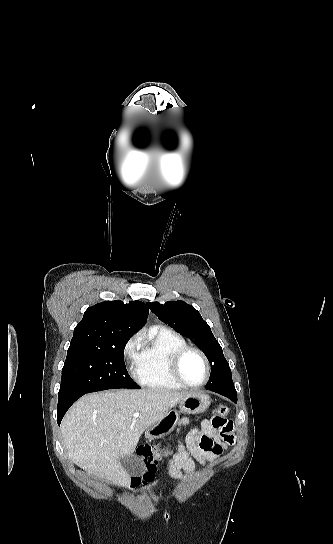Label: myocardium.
<instances>
[{
    "label": "myocardium",
    "instance_id": "f54148a6",
    "mask_svg": "<svg viewBox=\"0 0 333 544\" xmlns=\"http://www.w3.org/2000/svg\"><path fill=\"white\" fill-rule=\"evenodd\" d=\"M190 353H195L199 355L201 359L203 360L206 367V377L202 383L197 385L186 382V380L183 378L181 373L182 362L184 358ZM169 370H170V374L172 378L174 379L176 383H178L180 386L184 388H189V389H199L204 387L209 382L211 377V366L207 356L200 349L193 346H189V345H186L177 349L171 355L170 361H169Z\"/></svg>",
    "mask_w": 333,
    "mask_h": 544
}]
</instances>
